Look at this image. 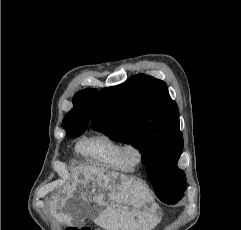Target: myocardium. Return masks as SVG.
Masks as SVG:
<instances>
[{
  "label": "myocardium",
  "instance_id": "myocardium-1",
  "mask_svg": "<svg viewBox=\"0 0 241 230\" xmlns=\"http://www.w3.org/2000/svg\"><path fill=\"white\" fill-rule=\"evenodd\" d=\"M135 153L137 155V160L131 162L129 156ZM121 159L129 170H134L141 166L145 159V151L143 147L134 140L126 141L121 146Z\"/></svg>",
  "mask_w": 241,
  "mask_h": 230
}]
</instances>
